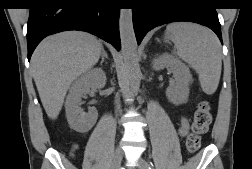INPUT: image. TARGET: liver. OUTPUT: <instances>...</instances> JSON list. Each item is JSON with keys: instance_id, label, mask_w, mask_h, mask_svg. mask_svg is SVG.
Here are the masks:
<instances>
[{"instance_id": "1", "label": "liver", "mask_w": 252, "mask_h": 169, "mask_svg": "<svg viewBox=\"0 0 252 169\" xmlns=\"http://www.w3.org/2000/svg\"><path fill=\"white\" fill-rule=\"evenodd\" d=\"M102 49L95 36L79 31L52 35L39 44L32 56L33 77L49 118L58 117L70 85L96 65Z\"/></svg>"}]
</instances>
